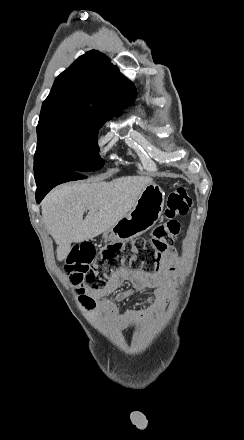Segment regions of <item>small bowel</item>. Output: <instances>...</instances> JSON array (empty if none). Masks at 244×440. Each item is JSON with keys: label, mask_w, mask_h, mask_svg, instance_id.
Instances as JSON below:
<instances>
[{"label": "small bowel", "mask_w": 244, "mask_h": 440, "mask_svg": "<svg viewBox=\"0 0 244 440\" xmlns=\"http://www.w3.org/2000/svg\"><path fill=\"white\" fill-rule=\"evenodd\" d=\"M178 261L179 258L176 250L171 247L163 254L162 263L164 268L161 272L151 274L133 268L117 270L102 288L99 290H87L82 300L92 299L94 302L96 301L99 311L110 324L119 327H128L135 320V313L128 312L126 314H118L114 302L106 299V297L126 283H130L132 288L119 291L115 295V301H123L133 292L142 291L148 288H158L162 296L166 297L167 292L164 289V283L170 273L178 265Z\"/></svg>", "instance_id": "1"}]
</instances>
